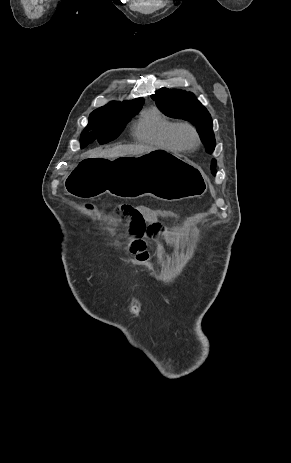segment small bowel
Masks as SVG:
<instances>
[{
    "mask_svg": "<svg viewBox=\"0 0 291 463\" xmlns=\"http://www.w3.org/2000/svg\"><path fill=\"white\" fill-rule=\"evenodd\" d=\"M129 224V240L124 247L126 254H132L136 263L145 267L150 258L146 239H159L168 236L162 220H177L179 217L170 210L146 209L143 207L124 210Z\"/></svg>",
    "mask_w": 291,
    "mask_h": 463,
    "instance_id": "1",
    "label": "small bowel"
}]
</instances>
